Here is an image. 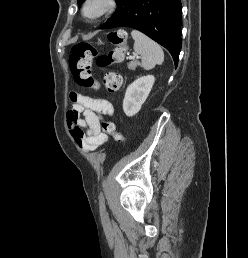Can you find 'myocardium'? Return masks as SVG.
<instances>
[{
    "instance_id": "f54148a6",
    "label": "myocardium",
    "mask_w": 248,
    "mask_h": 258,
    "mask_svg": "<svg viewBox=\"0 0 248 258\" xmlns=\"http://www.w3.org/2000/svg\"><path fill=\"white\" fill-rule=\"evenodd\" d=\"M95 4H99V7L92 11L91 8ZM117 6V0H85L81 7V14L87 21L97 22L112 14Z\"/></svg>"
}]
</instances>
